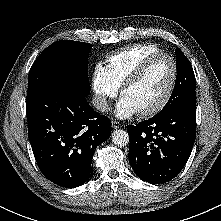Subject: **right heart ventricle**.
Masks as SVG:
<instances>
[{"mask_svg": "<svg viewBox=\"0 0 221 221\" xmlns=\"http://www.w3.org/2000/svg\"><path fill=\"white\" fill-rule=\"evenodd\" d=\"M159 51L158 46L150 43H140L125 47L106 56V69L119 87L138 63L148 55Z\"/></svg>", "mask_w": 221, "mask_h": 221, "instance_id": "1", "label": "right heart ventricle"}]
</instances>
